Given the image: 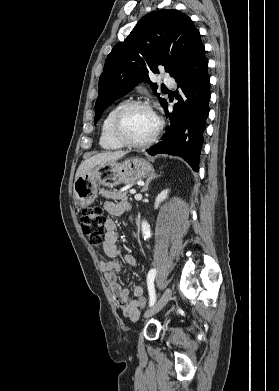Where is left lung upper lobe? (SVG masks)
Listing matches in <instances>:
<instances>
[{
    "label": "left lung upper lobe",
    "instance_id": "1",
    "mask_svg": "<svg viewBox=\"0 0 279 391\" xmlns=\"http://www.w3.org/2000/svg\"><path fill=\"white\" fill-rule=\"evenodd\" d=\"M204 45L193 21L177 10H160L143 17L125 41L117 43L108 55L99 79L95 103L97 122L103 111L140 82L151 84L162 107L166 99L150 81L152 73L164 68L174 79L192 63Z\"/></svg>",
    "mask_w": 279,
    "mask_h": 391
}]
</instances>
